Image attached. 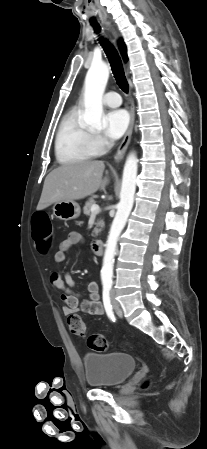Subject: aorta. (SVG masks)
Wrapping results in <instances>:
<instances>
[{
    "label": "aorta",
    "mask_w": 207,
    "mask_h": 449,
    "mask_svg": "<svg viewBox=\"0 0 207 449\" xmlns=\"http://www.w3.org/2000/svg\"><path fill=\"white\" fill-rule=\"evenodd\" d=\"M109 78V67L105 63H94L89 68L84 84L85 112L82 118L84 125L94 128H102L103 105L102 97ZM138 160L134 153L130 154L125 162L120 191V202L112 222L101 269L102 283L112 284L114 257L118 238L125 227L128 216L134 203L136 190V177Z\"/></svg>",
    "instance_id": "obj_1"
}]
</instances>
